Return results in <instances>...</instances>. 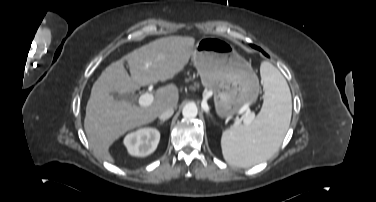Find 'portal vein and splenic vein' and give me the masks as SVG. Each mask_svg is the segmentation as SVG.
Returning <instances> with one entry per match:
<instances>
[{
    "label": "portal vein and splenic vein",
    "instance_id": "1",
    "mask_svg": "<svg viewBox=\"0 0 376 202\" xmlns=\"http://www.w3.org/2000/svg\"><path fill=\"white\" fill-rule=\"evenodd\" d=\"M139 101L142 106H149L154 101V96L150 93H145L140 96ZM251 121H252V118L250 116H244L243 118L244 123L248 124Z\"/></svg>",
    "mask_w": 376,
    "mask_h": 202
}]
</instances>
